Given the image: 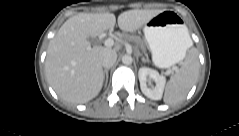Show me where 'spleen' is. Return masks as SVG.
<instances>
[{
    "instance_id": "1",
    "label": "spleen",
    "mask_w": 239,
    "mask_h": 136,
    "mask_svg": "<svg viewBox=\"0 0 239 136\" xmlns=\"http://www.w3.org/2000/svg\"><path fill=\"white\" fill-rule=\"evenodd\" d=\"M188 42L192 45V40L188 35ZM199 74V61L196 52L192 51L182 67L167 82L164 94V102L176 104L187 96L188 92L195 84Z\"/></svg>"
}]
</instances>
